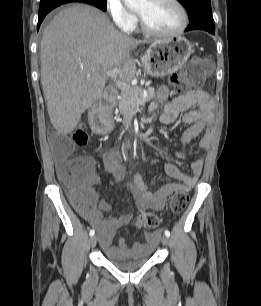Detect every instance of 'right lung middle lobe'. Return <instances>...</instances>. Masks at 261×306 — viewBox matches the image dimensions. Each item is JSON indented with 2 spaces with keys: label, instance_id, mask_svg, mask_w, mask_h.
<instances>
[{
  "label": "right lung middle lobe",
  "instance_id": "dd1d6c3e",
  "mask_svg": "<svg viewBox=\"0 0 261 306\" xmlns=\"http://www.w3.org/2000/svg\"><path fill=\"white\" fill-rule=\"evenodd\" d=\"M51 0H41L40 3H44V2H48ZM86 3L94 5L100 9H102L103 11H106V3L107 0H85Z\"/></svg>",
  "mask_w": 261,
  "mask_h": 306
}]
</instances>
